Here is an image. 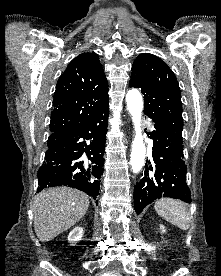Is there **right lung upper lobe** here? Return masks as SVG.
Returning a JSON list of instances; mask_svg holds the SVG:
<instances>
[{
    "label": "right lung upper lobe",
    "mask_w": 221,
    "mask_h": 276,
    "mask_svg": "<svg viewBox=\"0 0 221 276\" xmlns=\"http://www.w3.org/2000/svg\"><path fill=\"white\" fill-rule=\"evenodd\" d=\"M108 106V82L99 57L94 52L80 54L57 82L50 137H66Z\"/></svg>",
    "instance_id": "right-lung-upper-lobe-1"
}]
</instances>
